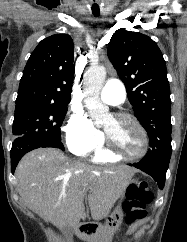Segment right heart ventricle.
I'll return each instance as SVG.
<instances>
[{
    "label": "right heart ventricle",
    "instance_id": "obj_1",
    "mask_svg": "<svg viewBox=\"0 0 187 242\" xmlns=\"http://www.w3.org/2000/svg\"><path fill=\"white\" fill-rule=\"evenodd\" d=\"M119 158H116L110 155L103 147H99L95 150L94 161L98 163H111L118 161Z\"/></svg>",
    "mask_w": 187,
    "mask_h": 242
}]
</instances>
